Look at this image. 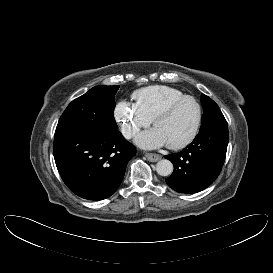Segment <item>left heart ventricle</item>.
Instances as JSON below:
<instances>
[{"mask_svg":"<svg viewBox=\"0 0 273 273\" xmlns=\"http://www.w3.org/2000/svg\"><path fill=\"white\" fill-rule=\"evenodd\" d=\"M196 119V105L186 100L177 105L168 117L159 120L155 128L161 133L167 144H177L190 135Z\"/></svg>","mask_w":273,"mask_h":273,"instance_id":"obj_1","label":"left heart ventricle"}]
</instances>
